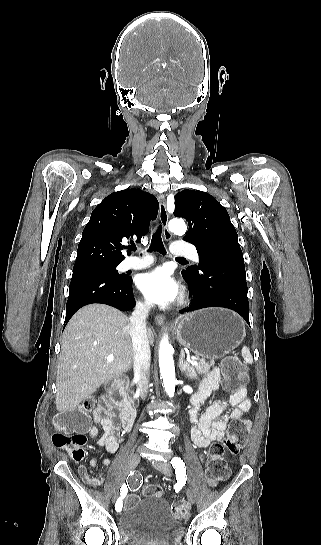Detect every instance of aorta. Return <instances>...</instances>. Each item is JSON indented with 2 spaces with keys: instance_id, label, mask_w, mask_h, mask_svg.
Listing matches in <instances>:
<instances>
[{
  "instance_id": "1",
  "label": "aorta",
  "mask_w": 321,
  "mask_h": 545,
  "mask_svg": "<svg viewBox=\"0 0 321 545\" xmlns=\"http://www.w3.org/2000/svg\"><path fill=\"white\" fill-rule=\"evenodd\" d=\"M169 230L174 234H185L187 227L183 220L172 219L169 222ZM173 347L169 344L167 337H164L160 343L159 348V367L161 377L163 379V386L169 397H173L175 393V367L173 360Z\"/></svg>"
}]
</instances>
